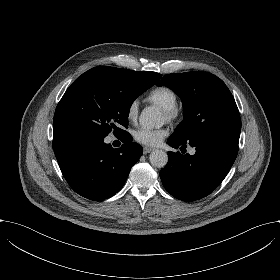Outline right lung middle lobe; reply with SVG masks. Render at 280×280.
<instances>
[{
    "instance_id": "dd1d6c3e",
    "label": "right lung middle lobe",
    "mask_w": 280,
    "mask_h": 280,
    "mask_svg": "<svg viewBox=\"0 0 280 280\" xmlns=\"http://www.w3.org/2000/svg\"><path fill=\"white\" fill-rule=\"evenodd\" d=\"M151 86L129 70L94 67L78 77L58 103L53 130L68 136L104 139L112 130L125 134L133 101Z\"/></svg>"
}]
</instances>
